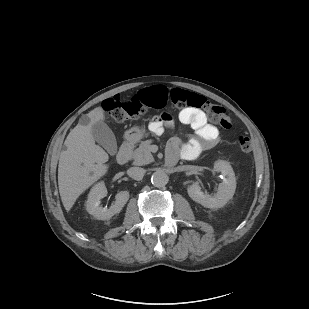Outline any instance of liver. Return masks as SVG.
<instances>
[{"label":"liver","instance_id":"1","mask_svg":"<svg viewBox=\"0 0 309 309\" xmlns=\"http://www.w3.org/2000/svg\"><path fill=\"white\" fill-rule=\"evenodd\" d=\"M105 119L102 107L86 115V123L71 130L58 165V186L66 211H70L78 197L108 171V154L95 144L92 126Z\"/></svg>","mask_w":309,"mask_h":309}]
</instances>
